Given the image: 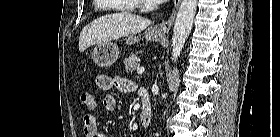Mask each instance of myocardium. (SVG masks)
I'll return each instance as SVG.
<instances>
[{
    "label": "myocardium",
    "mask_w": 280,
    "mask_h": 137,
    "mask_svg": "<svg viewBox=\"0 0 280 137\" xmlns=\"http://www.w3.org/2000/svg\"><path fill=\"white\" fill-rule=\"evenodd\" d=\"M135 1L138 2L143 7L152 8L154 6L150 3H148L147 0H135Z\"/></svg>",
    "instance_id": "1"
}]
</instances>
